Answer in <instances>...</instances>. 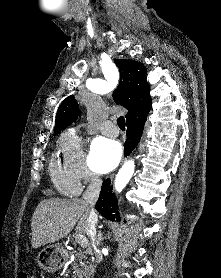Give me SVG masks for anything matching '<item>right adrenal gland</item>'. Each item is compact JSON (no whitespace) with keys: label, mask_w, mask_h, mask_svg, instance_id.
I'll return each instance as SVG.
<instances>
[{"label":"right adrenal gland","mask_w":221,"mask_h":278,"mask_svg":"<svg viewBox=\"0 0 221 278\" xmlns=\"http://www.w3.org/2000/svg\"><path fill=\"white\" fill-rule=\"evenodd\" d=\"M103 239H104V238H103V235H102V233H101V230H99L98 236H97L98 243H100Z\"/></svg>","instance_id":"right-adrenal-gland-1"}]
</instances>
